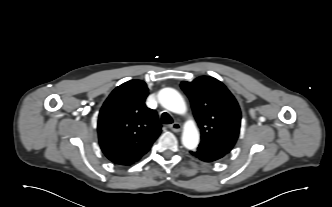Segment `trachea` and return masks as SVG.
<instances>
[{"label": "trachea", "mask_w": 332, "mask_h": 207, "mask_svg": "<svg viewBox=\"0 0 332 207\" xmlns=\"http://www.w3.org/2000/svg\"><path fill=\"white\" fill-rule=\"evenodd\" d=\"M161 121L162 123L164 124H171L173 123V119L172 117L167 113V112H164L161 116Z\"/></svg>", "instance_id": "3493384b"}]
</instances>
